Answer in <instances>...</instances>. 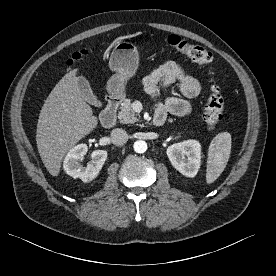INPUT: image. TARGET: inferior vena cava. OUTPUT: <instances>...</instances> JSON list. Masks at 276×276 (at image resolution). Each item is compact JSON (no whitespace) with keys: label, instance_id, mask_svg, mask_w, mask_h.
Masks as SVG:
<instances>
[{"label":"inferior vena cava","instance_id":"obj_1","mask_svg":"<svg viewBox=\"0 0 276 276\" xmlns=\"http://www.w3.org/2000/svg\"><path fill=\"white\" fill-rule=\"evenodd\" d=\"M111 141L116 146H123L128 141V135L123 129H113L111 131Z\"/></svg>","mask_w":276,"mask_h":276}]
</instances>
